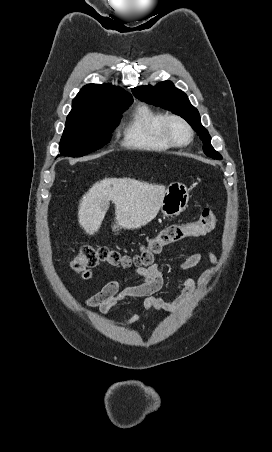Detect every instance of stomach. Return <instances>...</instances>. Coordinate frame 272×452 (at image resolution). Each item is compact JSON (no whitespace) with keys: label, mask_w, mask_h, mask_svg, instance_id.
Wrapping results in <instances>:
<instances>
[{"label":"stomach","mask_w":272,"mask_h":452,"mask_svg":"<svg viewBox=\"0 0 272 452\" xmlns=\"http://www.w3.org/2000/svg\"><path fill=\"white\" fill-rule=\"evenodd\" d=\"M190 195L186 185L180 182L171 183L165 191L161 213L164 216H176L188 206Z\"/></svg>","instance_id":"stomach-1"}]
</instances>
